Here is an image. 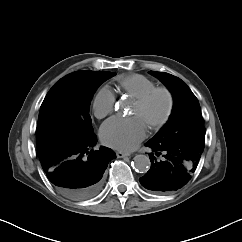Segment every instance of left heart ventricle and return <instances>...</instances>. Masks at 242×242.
<instances>
[{
	"label": "left heart ventricle",
	"instance_id": "1",
	"mask_svg": "<svg viewBox=\"0 0 242 242\" xmlns=\"http://www.w3.org/2000/svg\"><path fill=\"white\" fill-rule=\"evenodd\" d=\"M167 106L168 101L166 96L159 93L144 105H139L134 101L130 106V112L132 116L140 120L145 128H149L151 124L160 120L165 115Z\"/></svg>",
	"mask_w": 242,
	"mask_h": 242
}]
</instances>
